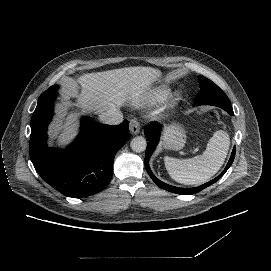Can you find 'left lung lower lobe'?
<instances>
[{
    "label": "left lung lower lobe",
    "mask_w": 271,
    "mask_h": 271,
    "mask_svg": "<svg viewBox=\"0 0 271 271\" xmlns=\"http://www.w3.org/2000/svg\"><path fill=\"white\" fill-rule=\"evenodd\" d=\"M227 111L230 115H234L233 113V110H225ZM160 133H161V125L157 122H152L150 123L149 125H147L144 129V134L146 136V138L148 139V144H147V148H146V156H145V167H146V170L149 174V176L153 179V181L162 189H165L169 192H173V193H177V194H196L198 193L199 191L205 189L206 187L214 184L216 181H218L224 174L225 172L228 170V168L232 165L233 161H234V157H235V146L233 148V151H232V154H231V157L224 169V171L216 178H214L213 180L201 185V186H198V187H195V188H189V189H185V188H179V187H174V186H171V185H168L162 181H160L159 179H157L150 167H149V158L151 156V154L153 153L154 149H155V146H157L158 142H159V138H160Z\"/></svg>",
    "instance_id": "1"
}]
</instances>
